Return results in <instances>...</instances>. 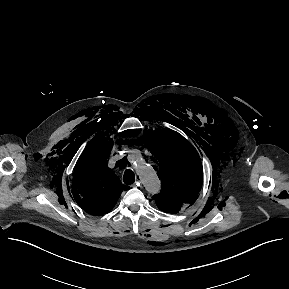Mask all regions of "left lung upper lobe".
I'll use <instances>...</instances> for the list:
<instances>
[{"label": "left lung upper lobe", "mask_w": 289, "mask_h": 289, "mask_svg": "<svg viewBox=\"0 0 289 289\" xmlns=\"http://www.w3.org/2000/svg\"><path fill=\"white\" fill-rule=\"evenodd\" d=\"M157 163L154 169L162 180V189L154 195L163 212L178 213L183 206L193 205L202 186L203 171L196 149L179 133L156 129L141 137Z\"/></svg>", "instance_id": "obj_1"}]
</instances>
